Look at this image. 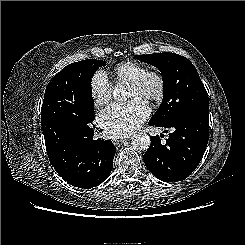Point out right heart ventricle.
I'll return each mask as SVG.
<instances>
[{
    "instance_id": "e07e8e85",
    "label": "right heart ventricle",
    "mask_w": 245,
    "mask_h": 245,
    "mask_svg": "<svg viewBox=\"0 0 245 245\" xmlns=\"http://www.w3.org/2000/svg\"><path fill=\"white\" fill-rule=\"evenodd\" d=\"M148 67L140 62L127 60L117 64L110 75L115 84L129 83L145 73Z\"/></svg>"
}]
</instances>
